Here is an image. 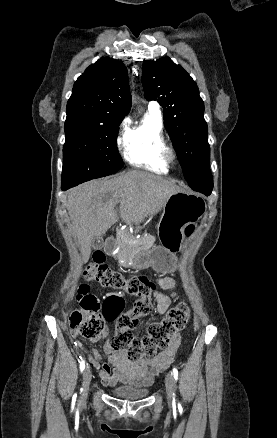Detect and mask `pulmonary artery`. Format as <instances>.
I'll list each match as a JSON object with an SVG mask.
<instances>
[{
	"mask_svg": "<svg viewBox=\"0 0 277 438\" xmlns=\"http://www.w3.org/2000/svg\"><path fill=\"white\" fill-rule=\"evenodd\" d=\"M149 111L155 115L156 117H161V111H160V107L154 104H150L149 106Z\"/></svg>",
	"mask_w": 277,
	"mask_h": 438,
	"instance_id": "pulmonary-artery-1",
	"label": "pulmonary artery"
}]
</instances>
